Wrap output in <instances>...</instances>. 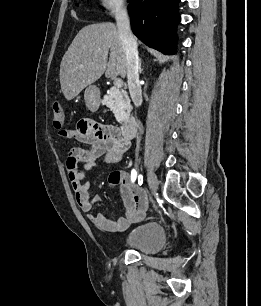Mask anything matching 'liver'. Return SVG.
<instances>
[{
  "instance_id": "liver-1",
  "label": "liver",
  "mask_w": 261,
  "mask_h": 306,
  "mask_svg": "<svg viewBox=\"0 0 261 306\" xmlns=\"http://www.w3.org/2000/svg\"><path fill=\"white\" fill-rule=\"evenodd\" d=\"M104 73L109 78L126 76L122 41L113 23L87 25L76 35L61 61L60 84L64 97L72 100Z\"/></svg>"
}]
</instances>
